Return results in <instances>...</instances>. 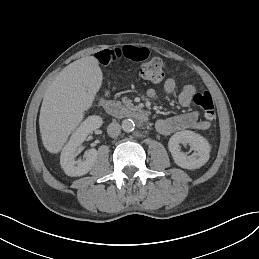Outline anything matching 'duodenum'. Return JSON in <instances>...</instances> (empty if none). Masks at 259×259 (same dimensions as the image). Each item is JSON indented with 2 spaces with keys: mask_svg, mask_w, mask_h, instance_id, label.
I'll return each mask as SVG.
<instances>
[{
  "mask_svg": "<svg viewBox=\"0 0 259 259\" xmlns=\"http://www.w3.org/2000/svg\"><path fill=\"white\" fill-rule=\"evenodd\" d=\"M100 106L107 114L115 117H131L140 123H145L148 120V115L144 111L127 109L121 103L110 99H102Z\"/></svg>",
  "mask_w": 259,
  "mask_h": 259,
  "instance_id": "duodenum-1",
  "label": "duodenum"
}]
</instances>
